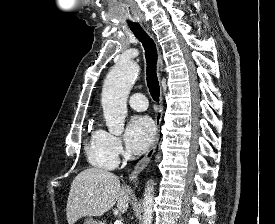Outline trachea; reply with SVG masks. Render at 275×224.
<instances>
[{
    "mask_svg": "<svg viewBox=\"0 0 275 224\" xmlns=\"http://www.w3.org/2000/svg\"><path fill=\"white\" fill-rule=\"evenodd\" d=\"M131 31L136 38L142 43L145 49L146 58V80L149 92L152 98L158 102L160 96V86L157 78V48L153 39H151L139 25L130 26Z\"/></svg>",
    "mask_w": 275,
    "mask_h": 224,
    "instance_id": "obj_1",
    "label": "trachea"
}]
</instances>
